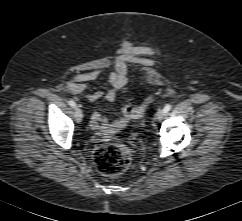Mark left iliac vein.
I'll return each instance as SVG.
<instances>
[{"label": "left iliac vein", "instance_id": "4c4485c4", "mask_svg": "<svg viewBox=\"0 0 242 221\" xmlns=\"http://www.w3.org/2000/svg\"><path fill=\"white\" fill-rule=\"evenodd\" d=\"M164 117V110L159 109L155 114V121L161 120Z\"/></svg>", "mask_w": 242, "mask_h": 221}]
</instances>
